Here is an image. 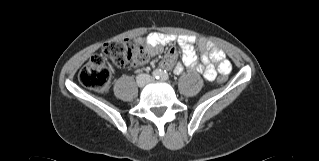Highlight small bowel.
<instances>
[{
  "instance_id": "obj_1",
  "label": "small bowel",
  "mask_w": 319,
  "mask_h": 161,
  "mask_svg": "<svg viewBox=\"0 0 319 161\" xmlns=\"http://www.w3.org/2000/svg\"><path fill=\"white\" fill-rule=\"evenodd\" d=\"M140 42L148 47L152 56H157L163 53L164 46L166 44L176 43L177 48H170L165 59L160 63V65L165 68H171L174 66V71L177 74L183 71V66L181 64L174 65L177 56V49L181 51L183 64L202 74V76L208 81H213L217 76V72L226 75L229 74L232 68L231 63L226 58L223 50L212 47L210 43L205 41L199 42V48L201 51V63H199L194 50L195 38L190 35L175 36L160 32H152L144 39H140ZM209 48H211L210 51H208ZM212 63H215V65Z\"/></svg>"
}]
</instances>
